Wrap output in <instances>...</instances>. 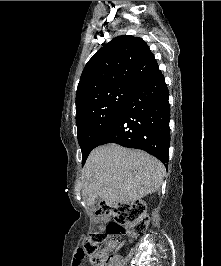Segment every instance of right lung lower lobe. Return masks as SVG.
Listing matches in <instances>:
<instances>
[{
    "instance_id": "obj_1",
    "label": "right lung lower lobe",
    "mask_w": 221,
    "mask_h": 266,
    "mask_svg": "<svg viewBox=\"0 0 221 266\" xmlns=\"http://www.w3.org/2000/svg\"><path fill=\"white\" fill-rule=\"evenodd\" d=\"M169 91L160 70L139 83L118 116L97 140L96 147L116 143L142 149L157 157L167 168Z\"/></svg>"
}]
</instances>
